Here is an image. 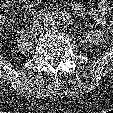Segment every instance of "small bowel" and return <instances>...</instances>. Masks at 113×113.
<instances>
[{"instance_id":"obj_1","label":"small bowel","mask_w":113,"mask_h":113,"mask_svg":"<svg viewBox=\"0 0 113 113\" xmlns=\"http://www.w3.org/2000/svg\"><path fill=\"white\" fill-rule=\"evenodd\" d=\"M10 1H1V3L8 4ZM26 6V8H33L38 5L41 0L30 1V0H21ZM72 11L79 16L88 15L92 21L99 25L105 26L108 33L113 35V17H110L111 12L113 11V3L109 0H99L96 7H86L80 3H75L71 7Z\"/></svg>"}]
</instances>
